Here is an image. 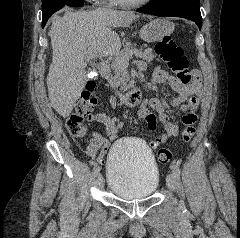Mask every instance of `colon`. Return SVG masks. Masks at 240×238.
Segmentation results:
<instances>
[{"label":"colon","mask_w":240,"mask_h":238,"mask_svg":"<svg viewBox=\"0 0 240 238\" xmlns=\"http://www.w3.org/2000/svg\"><path fill=\"white\" fill-rule=\"evenodd\" d=\"M156 53L167 63L168 67L175 74L176 79L183 84L191 83L194 79L193 71L188 68V59L184 54L183 49L178 46L173 39L165 37L155 46ZM95 85L88 83L82 93L81 98L76 104L75 111L67 118L66 127L69 134L75 138H82L86 134L85 118L89 115L96 100L93 97ZM195 134L193 125H186L182 131V140L188 143ZM100 143L94 141L89 146V153L93 156L98 155ZM172 158V153L169 149L161 148L157 152L159 163L166 164Z\"/></svg>","instance_id":"1"}]
</instances>
